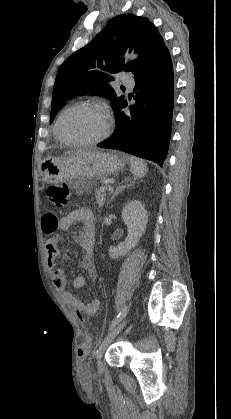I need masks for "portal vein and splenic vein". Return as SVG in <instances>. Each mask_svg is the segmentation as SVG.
Returning a JSON list of instances; mask_svg holds the SVG:
<instances>
[{
	"label": "portal vein and splenic vein",
	"mask_w": 231,
	"mask_h": 419,
	"mask_svg": "<svg viewBox=\"0 0 231 419\" xmlns=\"http://www.w3.org/2000/svg\"><path fill=\"white\" fill-rule=\"evenodd\" d=\"M108 188H110V186H102V187H101V190H102V191H106Z\"/></svg>",
	"instance_id": "18ae733b"
}]
</instances>
